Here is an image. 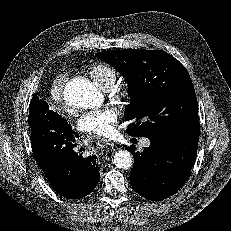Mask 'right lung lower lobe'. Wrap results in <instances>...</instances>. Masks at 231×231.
<instances>
[{
    "mask_svg": "<svg viewBox=\"0 0 231 231\" xmlns=\"http://www.w3.org/2000/svg\"><path fill=\"white\" fill-rule=\"evenodd\" d=\"M34 99H39L36 94ZM48 109L44 100L38 104L35 121L30 125L34 158L58 194L79 199L90 194L100 179L96 156L76 152L78 133L59 114Z\"/></svg>",
    "mask_w": 231,
    "mask_h": 231,
    "instance_id": "obj_1",
    "label": "right lung lower lobe"
}]
</instances>
